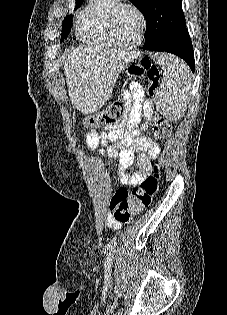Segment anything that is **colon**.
<instances>
[{"label": "colon", "mask_w": 227, "mask_h": 315, "mask_svg": "<svg viewBox=\"0 0 227 315\" xmlns=\"http://www.w3.org/2000/svg\"><path fill=\"white\" fill-rule=\"evenodd\" d=\"M128 73L133 77L146 76L149 82L148 95L153 96L158 88L161 73L159 68L148 59H142L132 63ZM124 115V106L122 102L117 101L103 112L88 116L84 120L86 127L113 126L122 121ZM146 122L152 127L155 136L170 140L172 137V128L168 120L157 115L152 108L144 110ZM161 167L154 168L153 175L147 177L139 186L131 192L125 188H117L113 194L110 211L115 219L126 224L132 218L140 214L147 208L153 197L156 195L160 185Z\"/></svg>", "instance_id": "5ec220e1"}]
</instances>
